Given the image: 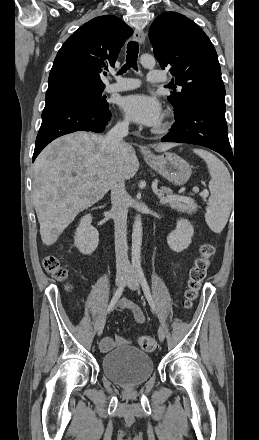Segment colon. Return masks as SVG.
<instances>
[{"label":"colon","instance_id":"1","mask_svg":"<svg viewBox=\"0 0 259 440\" xmlns=\"http://www.w3.org/2000/svg\"><path fill=\"white\" fill-rule=\"evenodd\" d=\"M214 252V246L210 243H205L201 246L200 256L195 260L194 266L190 270L188 288L185 292V299L183 302L184 308H191L193 302L196 300ZM43 266L44 269L58 281H63L68 277L67 268L56 255L46 256L43 259ZM138 343L143 350L148 352L153 351L157 347L155 338L151 336H141L138 339Z\"/></svg>","mask_w":259,"mask_h":440}]
</instances>
